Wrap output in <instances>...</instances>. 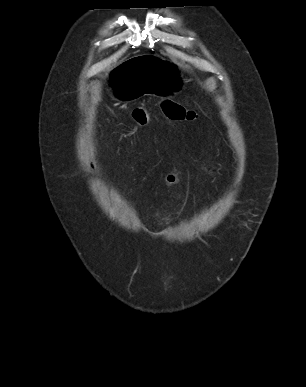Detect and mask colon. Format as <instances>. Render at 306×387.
Masks as SVG:
<instances>
[{
    "mask_svg": "<svg viewBox=\"0 0 306 387\" xmlns=\"http://www.w3.org/2000/svg\"><path fill=\"white\" fill-rule=\"evenodd\" d=\"M164 115L170 120L193 121L198 114L185 106L173 101H163L161 104ZM131 116L138 127H145L149 121V112L145 107L135 108Z\"/></svg>",
    "mask_w": 306,
    "mask_h": 387,
    "instance_id": "obj_1",
    "label": "colon"
}]
</instances>
